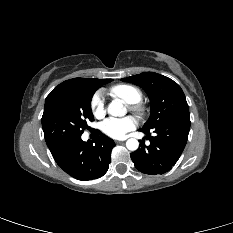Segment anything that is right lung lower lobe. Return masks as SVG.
<instances>
[{"label": "right lung lower lobe", "mask_w": 233, "mask_h": 233, "mask_svg": "<svg viewBox=\"0 0 233 233\" xmlns=\"http://www.w3.org/2000/svg\"><path fill=\"white\" fill-rule=\"evenodd\" d=\"M95 131L97 136L92 141L84 142L81 136H76L49 147L55 162L76 179H96L109 168L115 143L99 130Z\"/></svg>", "instance_id": "1"}]
</instances>
